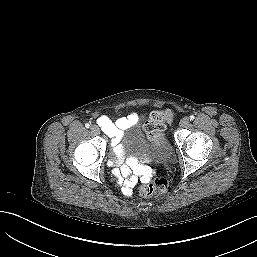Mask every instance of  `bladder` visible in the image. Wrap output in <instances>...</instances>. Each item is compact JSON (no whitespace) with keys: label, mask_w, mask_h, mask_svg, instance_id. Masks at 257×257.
Instances as JSON below:
<instances>
[{"label":"bladder","mask_w":257,"mask_h":257,"mask_svg":"<svg viewBox=\"0 0 257 257\" xmlns=\"http://www.w3.org/2000/svg\"><path fill=\"white\" fill-rule=\"evenodd\" d=\"M130 133V148L134 147L141 148L154 160H166L172 155V146L169 140L164 136L160 135L159 137L152 138L144 129V125L141 120H137L129 128ZM119 146L122 145L119 143ZM123 148V147H122ZM124 150V148H123ZM125 155V150L123 152V157Z\"/></svg>","instance_id":"bladder-1"}]
</instances>
